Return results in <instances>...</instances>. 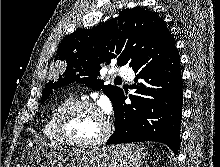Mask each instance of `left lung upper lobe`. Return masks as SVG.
<instances>
[{
	"label": "left lung upper lobe",
	"instance_id": "left-lung-upper-lobe-1",
	"mask_svg": "<svg viewBox=\"0 0 220 167\" xmlns=\"http://www.w3.org/2000/svg\"><path fill=\"white\" fill-rule=\"evenodd\" d=\"M174 48V36L156 12L126 9L98 27L76 30L63 39L55 60L65 61L66 70L58 82L46 84L41 103L56 88L78 82L102 90L114 106L123 90L97 79L100 63L115 58L118 66L129 64L135 69L161 59Z\"/></svg>",
	"mask_w": 220,
	"mask_h": 167
}]
</instances>
